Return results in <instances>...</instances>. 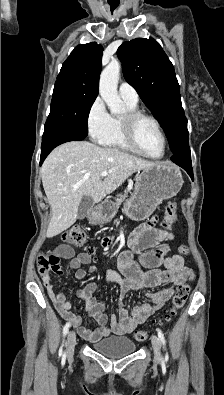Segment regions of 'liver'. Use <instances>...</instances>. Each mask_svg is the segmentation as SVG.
<instances>
[{"mask_svg":"<svg viewBox=\"0 0 224 395\" xmlns=\"http://www.w3.org/2000/svg\"><path fill=\"white\" fill-rule=\"evenodd\" d=\"M157 164L88 141L60 145L41 168L43 188L52 210L46 236L54 237L75 223L84 196L99 203L133 173ZM103 171L109 172L104 178Z\"/></svg>","mask_w":224,"mask_h":395,"instance_id":"1","label":"liver"}]
</instances>
